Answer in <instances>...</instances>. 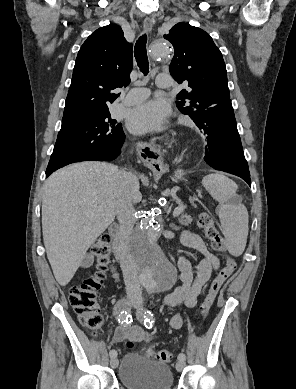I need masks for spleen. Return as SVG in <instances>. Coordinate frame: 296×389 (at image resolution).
<instances>
[{"mask_svg":"<svg viewBox=\"0 0 296 389\" xmlns=\"http://www.w3.org/2000/svg\"><path fill=\"white\" fill-rule=\"evenodd\" d=\"M203 187L219 202V219L225 238V246L235 257L246 247L248 236V211L238 199L237 185L228 177L212 173L202 179Z\"/></svg>","mask_w":296,"mask_h":389,"instance_id":"obj_1","label":"spleen"}]
</instances>
